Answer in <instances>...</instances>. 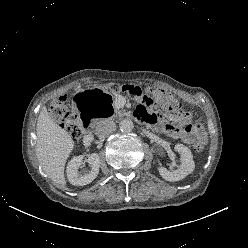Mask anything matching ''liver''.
Masks as SVG:
<instances>
[{"label":"liver","instance_id":"1","mask_svg":"<svg viewBox=\"0 0 248 248\" xmlns=\"http://www.w3.org/2000/svg\"><path fill=\"white\" fill-rule=\"evenodd\" d=\"M36 156L47 176L60 187H65V163L74 148V140L54 122L42 108L36 127Z\"/></svg>","mask_w":248,"mask_h":248}]
</instances>
